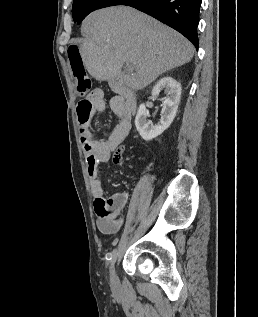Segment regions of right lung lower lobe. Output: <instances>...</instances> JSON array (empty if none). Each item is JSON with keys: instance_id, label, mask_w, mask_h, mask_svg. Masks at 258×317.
<instances>
[{"instance_id": "1", "label": "right lung lower lobe", "mask_w": 258, "mask_h": 317, "mask_svg": "<svg viewBox=\"0 0 258 317\" xmlns=\"http://www.w3.org/2000/svg\"><path fill=\"white\" fill-rule=\"evenodd\" d=\"M202 0H88L76 22L79 24L94 10L127 5L134 7L164 24L174 28L188 38L198 49L197 26Z\"/></svg>"}]
</instances>
